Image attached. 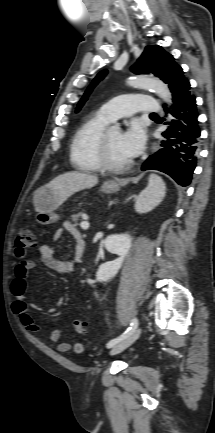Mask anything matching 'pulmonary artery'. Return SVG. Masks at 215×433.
Segmentation results:
<instances>
[{"label": "pulmonary artery", "mask_w": 215, "mask_h": 433, "mask_svg": "<svg viewBox=\"0 0 215 433\" xmlns=\"http://www.w3.org/2000/svg\"><path fill=\"white\" fill-rule=\"evenodd\" d=\"M162 107L153 96L133 93L118 96L102 105L99 112L110 121L135 113L156 114Z\"/></svg>", "instance_id": "1"}]
</instances>
